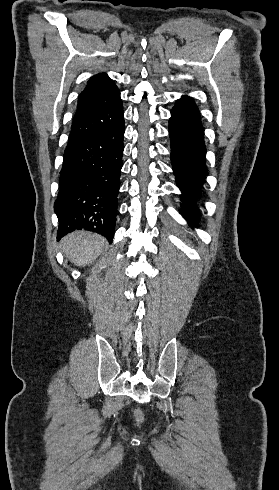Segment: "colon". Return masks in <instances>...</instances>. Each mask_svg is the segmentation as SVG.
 <instances>
[{
    "label": "colon",
    "instance_id": "1",
    "mask_svg": "<svg viewBox=\"0 0 279 490\" xmlns=\"http://www.w3.org/2000/svg\"><path fill=\"white\" fill-rule=\"evenodd\" d=\"M134 416L138 419H142L144 417L143 412L141 410H136L134 412Z\"/></svg>",
    "mask_w": 279,
    "mask_h": 490
}]
</instances>
